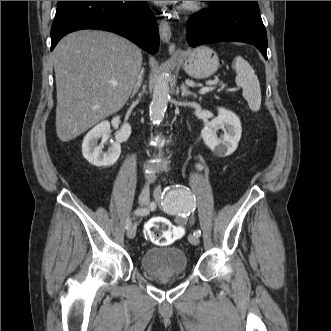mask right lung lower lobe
<instances>
[{
    "label": "right lung lower lobe",
    "instance_id": "obj_1",
    "mask_svg": "<svg viewBox=\"0 0 331 331\" xmlns=\"http://www.w3.org/2000/svg\"><path fill=\"white\" fill-rule=\"evenodd\" d=\"M82 29L111 31L150 53L158 51L156 18L145 1H59L51 50L63 36Z\"/></svg>",
    "mask_w": 331,
    "mask_h": 331
}]
</instances>
